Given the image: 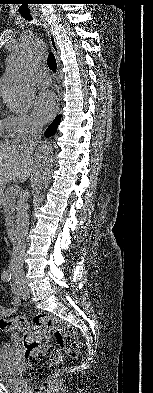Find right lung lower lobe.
<instances>
[{
	"instance_id": "obj_1",
	"label": "right lung lower lobe",
	"mask_w": 153,
	"mask_h": 393,
	"mask_svg": "<svg viewBox=\"0 0 153 393\" xmlns=\"http://www.w3.org/2000/svg\"><path fill=\"white\" fill-rule=\"evenodd\" d=\"M61 121V116H57L46 130V137H51L55 134L57 127Z\"/></svg>"
}]
</instances>
